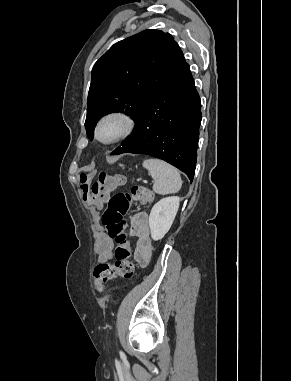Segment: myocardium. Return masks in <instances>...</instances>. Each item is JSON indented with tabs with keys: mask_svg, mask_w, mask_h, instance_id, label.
<instances>
[{
	"mask_svg": "<svg viewBox=\"0 0 291 381\" xmlns=\"http://www.w3.org/2000/svg\"><path fill=\"white\" fill-rule=\"evenodd\" d=\"M111 119L119 120L122 124V129L113 138L109 140H102L99 135L100 128L104 122ZM135 125H136V121L130 113L122 111V110L110 111L102 115L96 122V125L94 128V137L102 145H113L115 143H118L128 138L134 131Z\"/></svg>",
	"mask_w": 291,
	"mask_h": 381,
	"instance_id": "f54148a6",
	"label": "myocardium"
}]
</instances>
